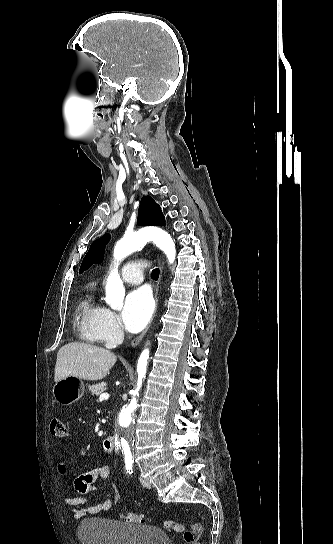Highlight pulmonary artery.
<instances>
[{
    "mask_svg": "<svg viewBox=\"0 0 333 544\" xmlns=\"http://www.w3.org/2000/svg\"><path fill=\"white\" fill-rule=\"evenodd\" d=\"M144 264L141 261H131L124 265L121 270L122 279L129 284H140L144 277Z\"/></svg>",
    "mask_w": 333,
    "mask_h": 544,
    "instance_id": "obj_1",
    "label": "pulmonary artery"
}]
</instances>
